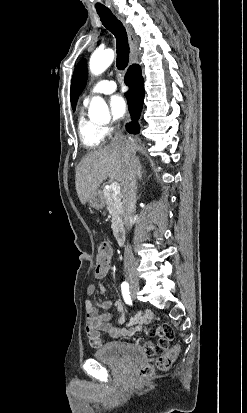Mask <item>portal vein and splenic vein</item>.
I'll return each instance as SVG.
<instances>
[{
  "label": "portal vein and splenic vein",
  "instance_id": "18ae733b",
  "mask_svg": "<svg viewBox=\"0 0 247 413\" xmlns=\"http://www.w3.org/2000/svg\"><path fill=\"white\" fill-rule=\"evenodd\" d=\"M110 188H112L114 194H120V184H118V182H112Z\"/></svg>",
  "mask_w": 247,
  "mask_h": 413
}]
</instances>
